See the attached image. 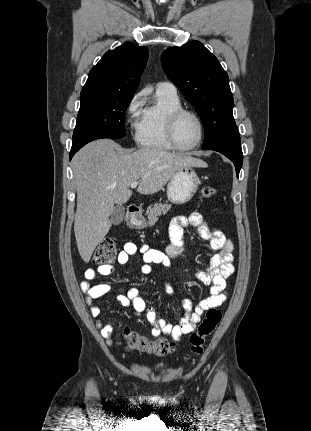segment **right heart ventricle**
I'll return each instance as SVG.
<instances>
[{"label": "right heart ventricle", "instance_id": "obj_1", "mask_svg": "<svg viewBox=\"0 0 311 431\" xmlns=\"http://www.w3.org/2000/svg\"><path fill=\"white\" fill-rule=\"evenodd\" d=\"M182 107L177 93L169 94L157 90L156 102L142 111L136 128V142L145 149L174 150L167 136V119L172 111Z\"/></svg>", "mask_w": 311, "mask_h": 431}]
</instances>
